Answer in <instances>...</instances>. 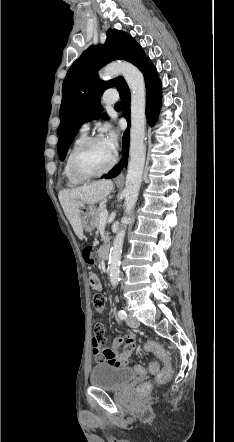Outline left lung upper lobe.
Instances as JSON below:
<instances>
[{
	"label": "left lung upper lobe",
	"instance_id": "obj_1",
	"mask_svg": "<svg viewBox=\"0 0 234 442\" xmlns=\"http://www.w3.org/2000/svg\"><path fill=\"white\" fill-rule=\"evenodd\" d=\"M147 58L131 35L121 30L109 29L104 45L90 46L72 64L62 86L58 127L60 160H64L80 126L88 120L100 117L102 107L99 100L104 90L115 86L119 91L126 85L122 77L108 82L100 81L98 70L117 59L129 61L141 69ZM102 116L108 118L105 113Z\"/></svg>",
	"mask_w": 234,
	"mask_h": 442
}]
</instances>
